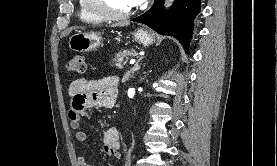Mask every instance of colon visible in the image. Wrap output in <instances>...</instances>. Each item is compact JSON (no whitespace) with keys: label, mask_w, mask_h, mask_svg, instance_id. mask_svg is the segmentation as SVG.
I'll list each match as a JSON object with an SVG mask.
<instances>
[{"label":"colon","mask_w":277,"mask_h":166,"mask_svg":"<svg viewBox=\"0 0 277 166\" xmlns=\"http://www.w3.org/2000/svg\"><path fill=\"white\" fill-rule=\"evenodd\" d=\"M67 70L72 73H84L86 70V61L82 54L72 56L67 62Z\"/></svg>","instance_id":"colon-1"}]
</instances>
